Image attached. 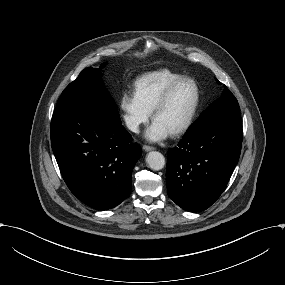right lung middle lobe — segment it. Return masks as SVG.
I'll return each instance as SVG.
<instances>
[{"mask_svg":"<svg viewBox=\"0 0 285 285\" xmlns=\"http://www.w3.org/2000/svg\"><path fill=\"white\" fill-rule=\"evenodd\" d=\"M106 64L107 62L102 63L98 71L92 67L82 70L77 79L62 92L56 110L70 107H106L117 110L101 79L100 70Z\"/></svg>","mask_w":285,"mask_h":285,"instance_id":"obj_1","label":"right lung middle lobe"}]
</instances>
